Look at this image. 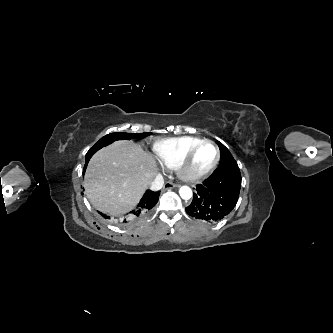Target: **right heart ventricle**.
Returning <instances> with one entry per match:
<instances>
[{"label": "right heart ventricle", "instance_id": "obj_1", "mask_svg": "<svg viewBox=\"0 0 333 333\" xmlns=\"http://www.w3.org/2000/svg\"><path fill=\"white\" fill-rule=\"evenodd\" d=\"M202 140L193 136L167 138L154 143L153 150L163 166L175 169L184 155Z\"/></svg>", "mask_w": 333, "mask_h": 333}]
</instances>
